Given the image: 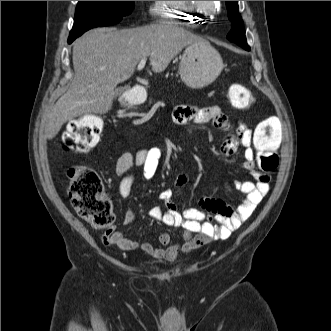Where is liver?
I'll use <instances>...</instances> for the list:
<instances>
[{"instance_id": "liver-1", "label": "liver", "mask_w": 331, "mask_h": 331, "mask_svg": "<svg viewBox=\"0 0 331 331\" xmlns=\"http://www.w3.org/2000/svg\"><path fill=\"white\" fill-rule=\"evenodd\" d=\"M201 40L171 22L86 32L73 43L70 87L44 118L46 138L53 139L75 117L111 110L115 87L133 75L141 59L149 57L153 72H163L184 47Z\"/></svg>"}]
</instances>
